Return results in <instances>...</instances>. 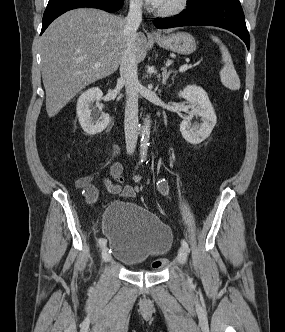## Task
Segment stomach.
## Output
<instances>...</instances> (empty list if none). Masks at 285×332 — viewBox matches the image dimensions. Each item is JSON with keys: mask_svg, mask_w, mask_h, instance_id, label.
I'll use <instances>...</instances> for the list:
<instances>
[{"mask_svg": "<svg viewBox=\"0 0 285 332\" xmlns=\"http://www.w3.org/2000/svg\"><path fill=\"white\" fill-rule=\"evenodd\" d=\"M155 41L160 47L178 54L189 55L196 50L195 38L186 32L155 37Z\"/></svg>", "mask_w": 285, "mask_h": 332, "instance_id": "0dacf381", "label": "stomach"}]
</instances>
